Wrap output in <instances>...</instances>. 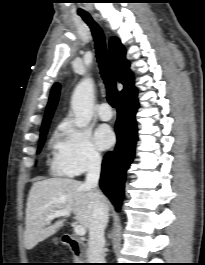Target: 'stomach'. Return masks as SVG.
Returning a JSON list of instances; mask_svg holds the SVG:
<instances>
[{
  "label": "stomach",
  "mask_w": 205,
  "mask_h": 265,
  "mask_svg": "<svg viewBox=\"0 0 205 265\" xmlns=\"http://www.w3.org/2000/svg\"><path fill=\"white\" fill-rule=\"evenodd\" d=\"M53 242H55V243H56V242H57V239H53Z\"/></svg>",
  "instance_id": "0dacf381"
}]
</instances>
